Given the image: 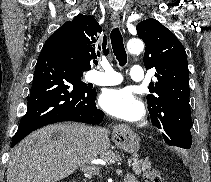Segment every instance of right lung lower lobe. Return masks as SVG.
I'll list each match as a JSON object with an SVG mask.
<instances>
[{
	"mask_svg": "<svg viewBox=\"0 0 211 182\" xmlns=\"http://www.w3.org/2000/svg\"><path fill=\"white\" fill-rule=\"evenodd\" d=\"M83 69L71 36L58 29L45 42L37 60L27 112L11 147L32 131L61 121L99 124L104 113L96 107V90L81 81Z\"/></svg>",
	"mask_w": 211,
	"mask_h": 182,
	"instance_id": "obj_1",
	"label": "right lung lower lobe"
}]
</instances>
